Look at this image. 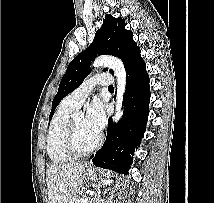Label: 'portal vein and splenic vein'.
Here are the masks:
<instances>
[{"label": "portal vein and splenic vein", "mask_w": 214, "mask_h": 203, "mask_svg": "<svg viewBox=\"0 0 214 203\" xmlns=\"http://www.w3.org/2000/svg\"><path fill=\"white\" fill-rule=\"evenodd\" d=\"M82 201H83L84 203H87V202H88V198H87V199H85V200L83 199ZM79 202H81V201H80V200H78V203H79Z\"/></svg>", "instance_id": "obj_1"}]
</instances>
